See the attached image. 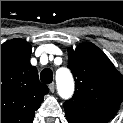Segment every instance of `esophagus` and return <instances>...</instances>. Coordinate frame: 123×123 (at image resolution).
Wrapping results in <instances>:
<instances>
[{"label": "esophagus", "instance_id": "1", "mask_svg": "<svg viewBox=\"0 0 123 123\" xmlns=\"http://www.w3.org/2000/svg\"><path fill=\"white\" fill-rule=\"evenodd\" d=\"M49 90H50V92H54L55 91V83H51V84H49Z\"/></svg>", "mask_w": 123, "mask_h": 123}]
</instances>
